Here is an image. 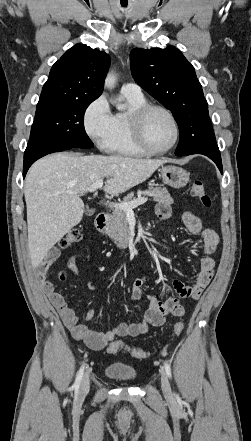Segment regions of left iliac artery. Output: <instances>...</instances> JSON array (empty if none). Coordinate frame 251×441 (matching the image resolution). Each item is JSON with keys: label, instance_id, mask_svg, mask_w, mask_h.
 <instances>
[{"label": "left iliac artery", "instance_id": "1", "mask_svg": "<svg viewBox=\"0 0 251 441\" xmlns=\"http://www.w3.org/2000/svg\"><path fill=\"white\" fill-rule=\"evenodd\" d=\"M164 367H165V371H166L167 376H168L169 378H171L172 373H171L170 365H169L167 362H165V363H164Z\"/></svg>", "mask_w": 251, "mask_h": 441}]
</instances>
